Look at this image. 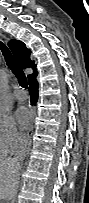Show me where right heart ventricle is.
I'll list each match as a JSON object with an SVG mask.
<instances>
[{"mask_svg":"<svg viewBox=\"0 0 89 203\" xmlns=\"http://www.w3.org/2000/svg\"><path fill=\"white\" fill-rule=\"evenodd\" d=\"M6 154H8V153L1 148L0 149V156H5Z\"/></svg>","mask_w":89,"mask_h":203,"instance_id":"right-heart-ventricle-1","label":"right heart ventricle"}]
</instances>
